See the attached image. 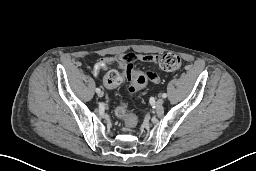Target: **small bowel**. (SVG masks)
<instances>
[{"label":"small bowel","instance_id":"1","mask_svg":"<svg viewBox=\"0 0 256 171\" xmlns=\"http://www.w3.org/2000/svg\"><path fill=\"white\" fill-rule=\"evenodd\" d=\"M159 59L158 55L155 54H135V53H122L115 57H106L102 60L101 64L95 68V74L98 73L100 68L106 69L108 66L117 64L119 67H123L126 62L131 61H142L146 63H157ZM147 81L152 83H159L160 77L155 72L149 71L145 73ZM104 84L107 87H113L106 81V77H104Z\"/></svg>","mask_w":256,"mask_h":171}]
</instances>
